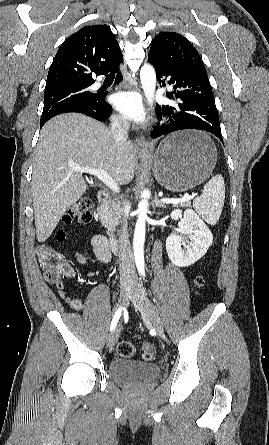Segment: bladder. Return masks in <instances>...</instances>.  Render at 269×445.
<instances>
[{"label": "bladder", "mask_w": 269, "mask_h": 445, "mask_svg": "<svg viewBox=\"0 0 269 445\" xmlns=\"http://www.w3.org/2000/svg\"><path fill=\"white\" fill-rule=\"evenodd\" d=\"M161 369L156 364L129 359H115L109 364V375L116 382L136 385L146 384L159 377Z\"/></svg>", "instance_id": "obj_1"}]
</instances>
